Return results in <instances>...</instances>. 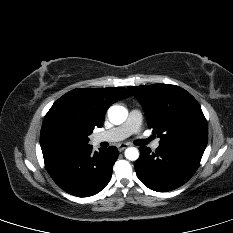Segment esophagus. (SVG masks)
Masks as SVG:
<instances>
[{"instance_id":"1","label":"esophagus","mask_w":233,"mask_h":233,"mask_svg":"<svg viewBox=\"0 0 233 233\" xmlns=\"http://www.w3.org/2000/svg\"><path fill=\"white\" fill-rule=\"evenodd\" d=\"M128 147V144H126V143H120L119 145H118V150L121 152V151H123L124 149H126Z\"/></svg>"}]
</instances>
